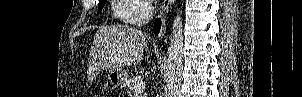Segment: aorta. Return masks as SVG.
Returning <instances> with one entry per match:
<instances>
[{
    "mask_svg": "<svg viewBox=\"0 0 302 97\" xmlns=\"http://www.w3.org/2000/svg\"><path fill=\"white\" fill-rule=\"evenodd\" d=\"M183 69V23L178 12L173 20L168 48L165 97H176L180 87Z\"/></svg>",
    "mask_w": 302,
    "mask_h": 97,
    "instance_id": "obj_1",
    "label": "aorta"
}]
</instances>
